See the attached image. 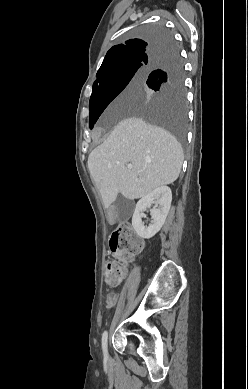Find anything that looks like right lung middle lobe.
Wrapping results in <instances>:
<instances>
[{"label":"right lung middle lobe","mask_w":248,"mask_h":389,"mask_svg":"<svg viewBox=\"0 0 248 389\" xmlns=\"http://www.w3.org/2000/svg\"><path fill=\"white\" fill-rule=\"evenodd\" d=\"M141 34L150 42L162 39L174 43L171 35L162 27L145 28ZM155 70H162L165 73L160 77H148L146 84L154 91L151 100L144 103L133 100L124 104L122 108L140 116L149 123L167 129L183 144L185 142L187 108L183 86V63L176 46L156 57V62L149 67L121 68L108 72L97 79L93 84L90 98V129L94 127L109 103L130 82L144 84L147 74H151Z\"/></svg>","instance_id":"right-lung-middle-lobe-1"}]
</instances>
